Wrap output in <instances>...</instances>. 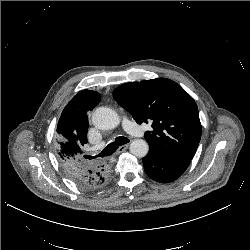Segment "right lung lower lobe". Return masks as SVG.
<instances>
[{
	"label": "right lung lower lobe",
	"mask_w": 250,
	"mask_h": 250,
	"mask_svg": "<svg viewBox=\"0 0 250 250\" xmlns=\"http://www.w3.org/2000/svg\"><path fill=\"white\" fill-rule=\"evenodd\" d=\"M68 177L80 188L96 189L104 185L109 178V168L102 167L103 172H97L92 168L69 171L64 169Z\"/></svg>",
	"instance_id": "obj_1"
}]
</instances>
